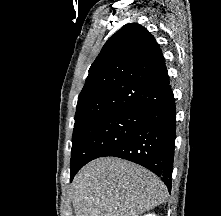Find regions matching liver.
<instances>
[{
	"label": "liver",
	"mask_w": 221,
	"mask_h": 216,
	"mask_svg": "<svg viewBox=\"0 0 221 216\" xmlns=\"http://www.w3.org/2000/svg\"><path fill=\"white\" fill-rule=\"evenodd\" d=\"M168 191L151 171L114 157L91 161L75 176V216H139L166 202Z\"/></svg>",
	"instance_id": "6515ba94"
}]
</instances>
